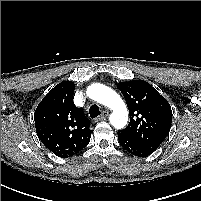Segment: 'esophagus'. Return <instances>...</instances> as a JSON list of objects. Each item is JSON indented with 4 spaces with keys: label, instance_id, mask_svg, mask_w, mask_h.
Segmentation results:
<instances>
[{
    "label": "esophagus",
    "instance_id": "34e87169",
    "mask_svg": "<svg viewBox=\"0 0 201 201\" xmlns=\"http://www.w3.org/2000/svg\"><path fill=\"white\" fill-rule=\"evenodd\" d=\"M108 115H109V112L107 110H105V111H103L101 116L96 119V121L98 122V121L104 120L108 117Z\"/></svg>",
    "mask_w": 201,
    "mask_h": 201
}]
</instances>
